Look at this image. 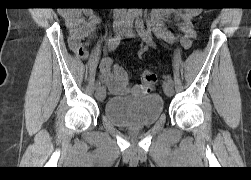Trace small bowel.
<instances>
[{"mask_svg": "<svg viewBox=\"0 0 251 180\" xmlns=\"http://www.w3.org/2000/svg\"><path fill=\"white\" fill-rule=\"evenodd\" d=\"M198 9L160 11L151 13L154 34L168 44L176 42V37L164 26V18L172 15L181 32L179 43L183 48H189L196 37L192 20L198 15ZM100 17L91 9L69 11L65 14V25L68 30V43L71 50L80 58L88 57L89 40L96 34ZM100 78L109 90L118 95H141L146 91L138 85H132L126 70L113 64L110 58L100 62Z\"/></svg>", "mask_w": 251, "mask_h": 180, "instance_id": "obj_1", "label": "small bowel"}]
</instances>
